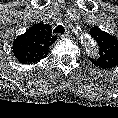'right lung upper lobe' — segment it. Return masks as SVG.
Instances as JSON below:
<instances>
[{"mask_svg":"<svg viewBox=\"0 0 118 118\" xmlns=\"http://www.w3.org/2000/svg\"><path fill=\"white\" fill-rule=\"evenodd\" d=\"M51 27L43 23L33 25L13 42L14 56L20 63L32 64L48 55L49 47L57 37L51 34Z\"/></svg>","mask_w":118,"mask_h":118,"instance_id":"right-lung-upper-lobe-1","label":"right lung upper lobe"}]
</instances>
